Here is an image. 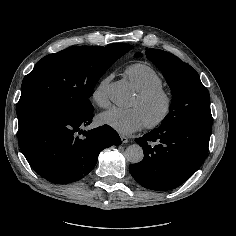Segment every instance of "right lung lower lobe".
I'll use <instances>...</instances> for the list:
<instances>
[{"instance_id": "98d812e1", "label": "right lung lower lobe", "mask_w": 236, "mask_h": 236, "mask_svg": "<svg viewBox=\"0 0 236 236\" xmlns=\"http://www.w3.org/2000/svg\"><path fill=\"white\" fill-rule=\"evenodd\" d=\"M93 110L81 115L51 113L19 128L18 142L31 167L52 183L78 181L95 166L99 153L121 144L118 133L103 125L85 131Z\"/></svg>"}]
</instances>
